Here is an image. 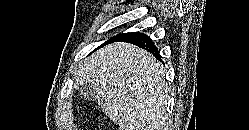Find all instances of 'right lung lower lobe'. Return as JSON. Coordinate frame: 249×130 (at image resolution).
Listing matches in <instances>:
<instances>
[{
  "mask_svg": "<svg viewBox=\"0 0 249 130\" xmlns=\"http://www.w3.org/2000/svg\"><path fill=\"white\" fill-rule=\"evenodd\" d=\"M114 41L132 43L138 47H141L145 50H148L156 58L160 59V55L158 53L157 47L151 41L150 37H148L147 35H145L143 33H139V32L127 33V34H124V35H122V36H120L112 41L105 43V44H108V43L114 42ZM105 44H103V45H105Z\"/></svg>",
  "mask_w": 249,
  "mask_h": 130,
  "instance_id": "98d812e1",
  "label": "right lung lower lobe"
}]
</instances>
